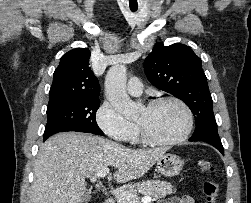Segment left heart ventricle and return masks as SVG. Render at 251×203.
Here are the masks:
<instances>
[{
  "instance_id": "b2bd125f",
  "label": "left heart ventricle",
  "mask_w": 251,
  "mask_h": 203,
  "mask_svg": "<svg viewBox=\"0 0 251 203\" xmlns=\"http://www.w3.org/2000/svg\"><path fill=\"white\" fill-rule=\"evenodd\" d=\"M137 123H141L149 134L160 140H170L180 136L187 123L183 109L175 103H164L155 108L141 111Z\"/></svg>"
}]
</instances>
